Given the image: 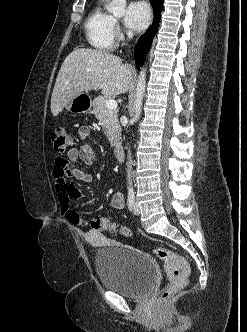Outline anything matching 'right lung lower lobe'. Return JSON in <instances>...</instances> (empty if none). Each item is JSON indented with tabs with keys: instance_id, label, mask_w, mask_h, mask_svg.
<instances>
[{
	"instance_id": "obj_1",
	"label": "right lung lower lobe",
	"mask_w": 247,
	"mask_h": 332,
	"mask_svg": "<svg viewBox=\"0 0 247 332\" xmlns=\"http://www.w3.org/2000/svg\"><path fill=\"white\" fill-rule=\"evenodd\" d=\"M150 3L154 10V20L150 29L144 35H142L137 42L134 55L137 69H139L143 64V61L158 28L163 0H150Z\"/></svg>"
}]
</instances>
